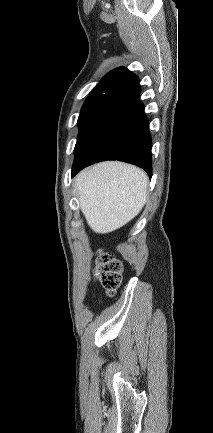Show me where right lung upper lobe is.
<instances>
[{
  "label": "right lung upper lobe",
  "mask_w": 213,
  "mask_h": 433,
  "mask_svg": "<svg viewBox=\"0 0 213 433\" xmlns=\"http://www.w3.org/2000/svg\"><path fill=\"white\" fill-rule=\"evenodd\" d=\"M138 81L139 78L137 75L133 74L125 67H118L104 76L100 83L91 91L88 98L102 95L117 96L138 83Z\"/></svg>",
  "instance_id": "cb5924a9"
}]
</instances>
